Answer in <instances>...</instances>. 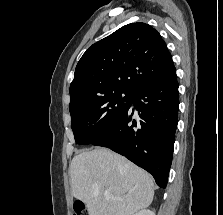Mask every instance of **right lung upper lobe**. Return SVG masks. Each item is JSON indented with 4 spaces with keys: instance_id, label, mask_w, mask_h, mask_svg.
<instances>
[{
    "instance_id": "right-lung-upper-lobe-1",
    "label": "right lung upper lobe",
    "mask_w": 223,
    "mask_h": 215,
    "mask_svg": "<svg viewBox=\"0 0 223 215\" xmlns=\"http://www.w3.org/2000/svg\"><path fill=\"white\" fill-rule=\"evenodd\" d=\"M175 72L172 56L154 28L125 25L90 46L79 60L69 110L118 90L135 93Z\"/></svg>"
}]
</instances>
